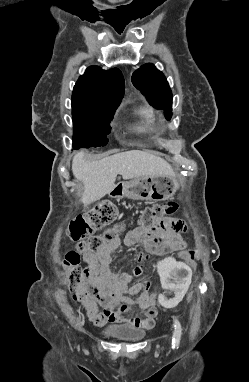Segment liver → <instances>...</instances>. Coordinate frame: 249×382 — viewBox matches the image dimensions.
<instances>
[{
  "mask_svg": "<svg viewBox=\"0 0 249 382\" xmlns=\"http://www.w3.org/2000/svg\"><path fill=\"white\" fill-rule=\"evenodd\" d=\"M72 172L84 185L81 198L84 204L93 203L109 194L115 188L118 174L124 180L145 175L176 176L164 159L141 150H130L95 161L86 160L84 151H80L73 157Z\"/></svg>",
  "mask_w": 249,
  "mask_h": 382,
  "instance_id": "6515ba94",
  "label": "liver"
}]
</instances>
